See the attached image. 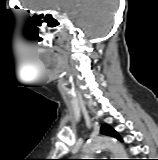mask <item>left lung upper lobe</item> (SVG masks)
<instances>
[{"label": "left lung upper lobe", "instance_id": "1", "mask_svg": "<svg viewBox=\"0 0 158 160\" xmlns=\"http://www.w3.org/2000/svg\"><path fill=\"white\" fill-rule=\"evenodd\" d=\"M100 133L104 134V135H109V136H113L116 137L118 139L121 140L120 136L118 135V133L109 125L105 124L101 127V131Z\"/></svg>", "mask_w": 158, "mask_h": 160}]
</instances>
